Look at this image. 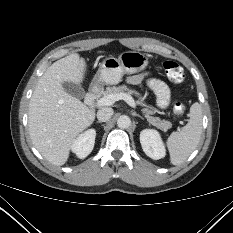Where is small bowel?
<instances>
[{
	"label": "small bowel",
	"mask_w": 233,
	"mask_h": 233,
	"mask_svg": "<svg viewBox=\"0 0 233 233\" xmlns=\"http://www.w3.org/2000/svg\"><path fill=\"white\" fill-rule=\"evenodd\" d=\"M145 77L146 74H135L129 76L127 81L133 85H140ZM147 85L157 96L158 106L161 109L167 108L171 100V91L168 85L157 78L147 79Z\"/></svg>",
	"instance_id": "small-bowel-1"
}]
</instances>
